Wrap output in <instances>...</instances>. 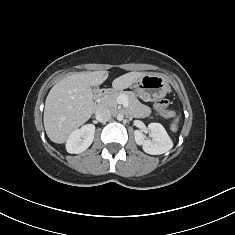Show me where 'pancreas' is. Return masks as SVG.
Segmentation results:
<instances>
[{"mask_svg":"<svg viewBox=\"0 0 235 235\" xmlns=\"http://www.w3.org/2000/svg\"><path fill=\"white\" fill-rule=\"evenodd\" d=\"M120 96H125L127 98L129 103L128 112L133 117L141 118L150 114V109L140 103L136 98V95L131 91L111 92L102 98L101 103L110 109H116L118 105V98Z\"/></svg>","mask_w":235,"mask_h":235,"instance_id":"obj_1","label":"pancreas"}]
</instances>
